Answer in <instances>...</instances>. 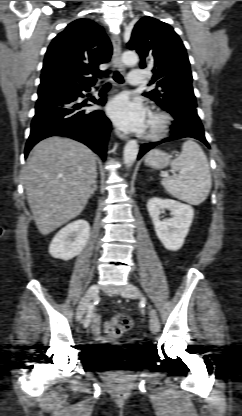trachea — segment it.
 Wrapping results in <instances>:
<instances>
[{"label":"trachea","instance_id":"1","mask_svg":"<svg viewBox=\"0 0 242 416\" xmlns=\"http://www.w3.org/2000/svg\"><path fill=\"white\" fill-rule=\"evenodd\" d=\"M110 72L111 71H108V73H110ZM113 78L118 83H123L124 82V79H123L122 75L118 71H114Z\"/></svg>","mask_w":242,"mask_h":416}]
</instances>
